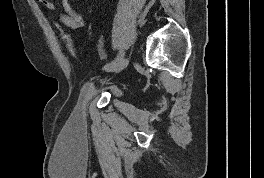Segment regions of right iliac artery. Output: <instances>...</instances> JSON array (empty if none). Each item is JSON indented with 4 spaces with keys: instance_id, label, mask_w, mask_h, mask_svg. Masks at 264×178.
I'll list each match as a JSON object with an SVG mask.
<instances>
[{
    "instance_id": "82829eb1",
    "label": "right iliac artery",
    "mask_w": 264,
    "mask_h": 178,
    "mask_svg": "<svg viewBox=\"0 0 264 178\" xmlns=\"http://www.w3.org/2000/svg\"><path fill=\"white\" fill-rule=\"evenodd\" d=\"M123 56H124V53H123L122 50H120V52H119V54L117 55V57H116L114 60H112L110 63L106 64V65L104 66V69L107 70V69H109L110 67H112L115 63H117L118 61H120V60L123 58Z\"/></svg>"
}]
</instances>
